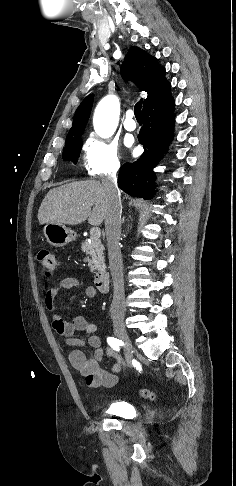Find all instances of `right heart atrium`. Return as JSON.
<instances>
[{"instance_id":"right-heart-atrium-1","label":"right heart atrium","mask_w":236,"mask_h":486,"mask_svg":"<svg viewBox=\"0 0 236 486\" xmlns=\"http://www.w3.org/2000/svg\"><path fill=\"white\" fill-rule=\"evenodd\" d=\"M83 162L91 177L115 173L121 167L119 147L114 141L90 135L83 145Z\"/></svg>"}]
</instances>
